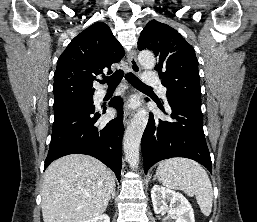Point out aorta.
<instances>
[{
  "label": "aorta",
  "instance_id": "aorta-1",
  "mask_svg": "<svg viewBox=\"0 0 257 222\" xmlns=\"http://www.w3.org/2000/svg\"><path fill=\"white\" fill-rule=\"evenodd\" d=\"M138 60L145 69H152L155 66V57L150 51L140 52ZM148 119L149 113L147 110L144 108L139 109L125 131L123 142L124 153L127 162L133 169L138 167L140 142Z\"/></svg>",
  "mask_w": 257,
  "mask_h": 222
}]
</instances>
